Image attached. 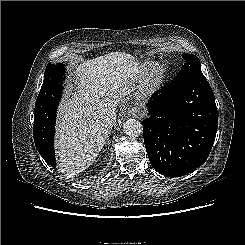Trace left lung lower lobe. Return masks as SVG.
I'll return each mask as SVG.
<instances>
[{"label": "left lung lower lobe", "mask_w": 245, "mask_h": 245, "mask_svg": "<svg viewBox=\"0 0 245 245\" xmlns=\"http://www.w3.org/2000/svg\"><path fill=\"white\" fill-rule=\"evenodd\" d=\"M144 143L152 166L169 177L186 175L208 158L218 127L215 97L205 76L173 83L147 103Z\"/></svg>", "instance_id": "0a47b994"}]
</instances>
